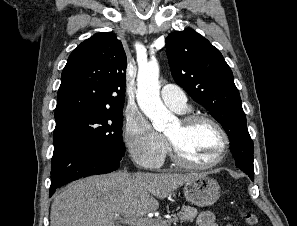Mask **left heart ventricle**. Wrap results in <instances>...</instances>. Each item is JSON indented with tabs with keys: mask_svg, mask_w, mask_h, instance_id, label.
<instances>
[{
	"mask_svg": "<svg viewBox=\"0 0 297 226\" xmlns=\"http://www.w3.org/2000/svg\"><path fill=\"white\" fill-rule=\"evenodd\" d=\"M165 134L177 143L187 159L198 164L213 161L223 143L219 131L208 122H198L184 128L176 121Z\"/></svg>",
	"mask_w": 297,
	"mask_h": 226,
	"instance_id": "b2bd125f",
	"label": "left heart ventricle"
}]
</instances>
